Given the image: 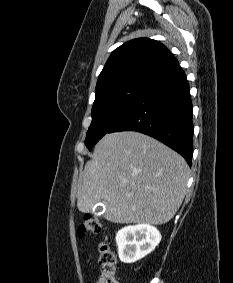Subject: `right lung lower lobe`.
<instances>
[{"label": "right lung lower lobe", "mask_w": 233, "mask_h": 283, "mask_svg": "<svg viewBox=\"0 0 233 283\" xmlns=\"http://www.w3.org/2000/svg\"><path fill=\"white\" fill-rule=\"evenodd\" d=\"M189 84L178 65L150 81L108 133L137 131L149 135L192 164L193 122Z\"/></svg>", "instance_id": "right-lung-lower-lobe-1"}]
</instances>
